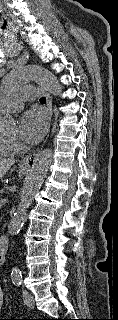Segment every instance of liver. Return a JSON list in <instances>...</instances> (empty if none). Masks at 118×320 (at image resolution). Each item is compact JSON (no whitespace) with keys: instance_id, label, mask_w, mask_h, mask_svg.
<instances>
[{"instance_id":"obj_1","label":"liver","mask_w":118,"mask_h":320,"mask_svg":"<svg viewBox=\"0 0 118 320\" xmlns=\"http://www.w3.org/2000/svg\"><path fill=\"white\" fill-rule=\"evenodd\" d=\"M15 163L14 159H3L0 158V178H2L6 172L11 168Z\"/></svg>"}]
</instances>
